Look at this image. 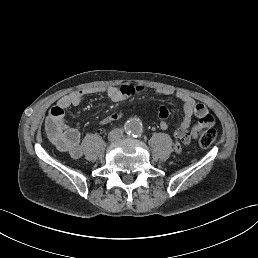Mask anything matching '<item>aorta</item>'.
Returning a JSON list of instances; mask_svg holds the SVG:
<instances>
[{"mask_svg":"<svg viewBox=\"0 0 258 258\" xmlns=\"http://www.w3.org/2000/svg\"><path fill=\"white\" fill-rule=\"evenodd\" d=\"M142 123L139 119L134 118L126 123V131L132 135H138L141 133Z\"/></svg>","mask_w":258,"mask_h":258,"instance_id":"aorta-1","label":"aorta"}]
</instances>
